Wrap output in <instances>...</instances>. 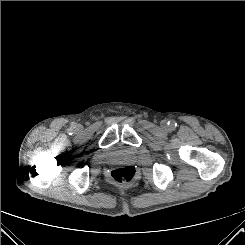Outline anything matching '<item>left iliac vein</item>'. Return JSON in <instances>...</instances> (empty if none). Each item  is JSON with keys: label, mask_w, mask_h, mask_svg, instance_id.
<instances>
[{"label": "left iliac vein", "mask_w": 245, "mask_h": 245, "mask_svg": "<svg viewBox=\"0 0 245 245\" xmlns=\"http://www.w3.org/2000/svg\"><path fill=\"white\" fill-rule=\"evenodd\" d=\"M162 124H163V126H164V127H166V126H167L165 121H164Z\"/></svg>", "instance_id": "obj_1"}]
</instances>
